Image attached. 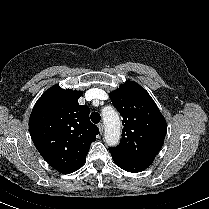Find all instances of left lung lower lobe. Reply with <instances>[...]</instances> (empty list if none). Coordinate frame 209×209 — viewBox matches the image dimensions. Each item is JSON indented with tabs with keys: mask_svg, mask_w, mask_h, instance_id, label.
Listing matches in <instances>:
<instances>
[{
	"mask_svg": "<svg viewBox=\"0 0 209 209\" xmlns=\"http://www.w3.org/2000/svg\"><path fill=\"white\" fill-rule=\"evenodd\" d=\"M112 159L117 164V166H119L125 171L133 172V173L141 172L149 166V164L146 163L121 159L114 156H112Z\"/></svg>",
	"mask_w": 209,
	"mask_h": 209,
	"instance_id": "0a47b994",
	"label": "left lung lower lobe"
}]
</instances>
